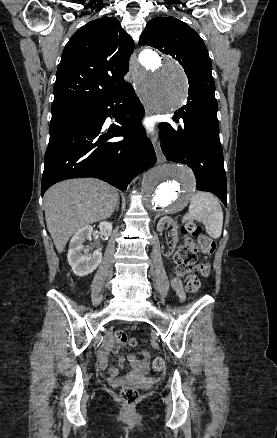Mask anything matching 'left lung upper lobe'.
<instances>
[{
    "label": "left lung upper lobe",
    "mask_w": 277,
    "mask_h": 438,
    "mask_svg": "<svg viewBox=\"0 0 277 438\" xmlns=\"http://www.w3.org/2000/svg\"><path fill=\"white\" fill-rule=\"evenodd\" d=\"M139 45L157 48L182 65L189 80L188 98H215L207 48L201 37L186 23L174 17L153 18L142 32Z\"/></svg>",
    "instance_id": "obj_1"
}]
</instances>
